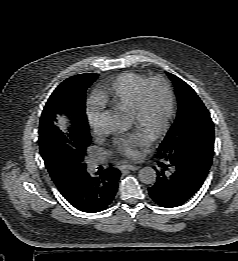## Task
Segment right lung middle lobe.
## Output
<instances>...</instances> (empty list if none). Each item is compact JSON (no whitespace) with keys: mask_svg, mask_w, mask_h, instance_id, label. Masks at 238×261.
Returning <instances> with one entry per match:
<instances>
[{"mask_svg":"<svg viewBox=\"0 0 238 261\" xmlns=\"http://www.w3.org/2000/svg\"><path fill=\"white\" fill-rule=\"evenodd\" d=\"M97 77L98 74H80L64 80L44 107L39 125V149L53 181L68 185L86 172L85 157L91 138L85 114V95ZM59 115H66L78 125L80 134L70 138ZM57 116L63 131L55 125Z\"/></svg>","mask_w":238,"mask_h":261,"instance_id":"right-lung-middle-lobe-1","label":"right lung middle lobe"}]
</instances>
